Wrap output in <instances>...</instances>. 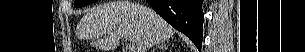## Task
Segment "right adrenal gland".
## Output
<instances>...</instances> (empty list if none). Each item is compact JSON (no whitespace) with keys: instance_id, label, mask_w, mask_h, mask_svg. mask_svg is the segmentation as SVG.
Listing matches in <instances>:
<instances>
[{"instance_id":"right-adrenal-gland-1","label":"right adrenal gland","mask_w":305,"mask_h":52,"mask_svg":"<svg viewBox=\"0 0 305 52\" xmlns=\"http://www.w3.org/2000/svg\"><path fill=\"white\" fill-rule=\"evenodd\" d=\"M167 44H168V43H166V42L157 44V45L153 48L152 52H155V50H157V49H167Z\"/></svg>"}]
</instances>
